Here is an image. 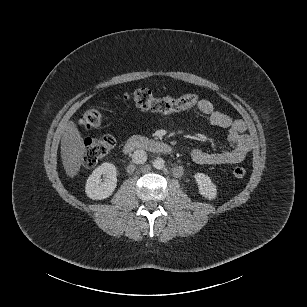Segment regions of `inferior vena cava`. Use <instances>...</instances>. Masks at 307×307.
I'll return each instance as SVG.
<instances>
[{
    "label": "inferior vena cava",
    "mask_w": 307,
    "mask_h": 307,
    "mask_svg": "<svg viewBox=\"0 0 307 307\" xmlns=\"http://www.w3.org/2000/svg\"><path fill=\"white\" fill-rule=\"evenodd\" d=\"M132 161L136 164H143L147 161V153L144 150H136L132 155Z\"/></svg>",
    "instance_id": "1"
}]
</instances>
